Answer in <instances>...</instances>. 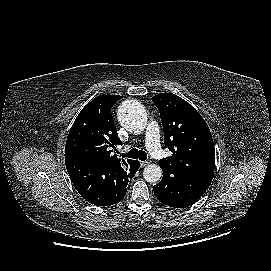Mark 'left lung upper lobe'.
Listing matches in <instances>:
<instances>
[{
    "label": "left lung upper lobe",
    "instance_id": "5c2ea615",
    "mask_svg": "<svg viewBox=\"0 0 271 271\" xmlns=\"http://www.w3.org/2000/svg\"><path fill=\"white\" fill-rule=\"evenodd\" d=\"M152 101L160 112L165 146L173 153L159 161L160 167L180 172L208 188L214 175L215 149L205 120L175 94L161 93Z\"/></svg>",
    "mask_w": 271,
    "mask_h": 271
}]
</instances>
